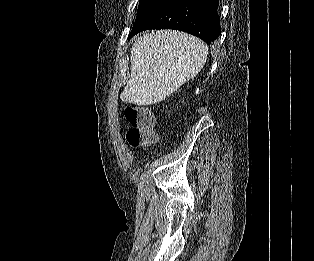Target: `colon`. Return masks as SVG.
<instances>
[{
    "label": "colon",
    "instance_id": "colon-1",
    "mask_svg": "<svg viewBox=\"0 0 314 261\" xmlns=\"http://www.w3.org/2000/svg\"><path fill=\"white\" fill-rule=\"evenodd\" d=\"M124 116L130 125L126 139L132 148L147 146L156 140L155 119L151 110L143 106L127 105Z\"/></svg>",
    "mask_w": 314,
    "mask_h": 261
}]
</instances>
